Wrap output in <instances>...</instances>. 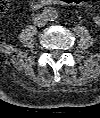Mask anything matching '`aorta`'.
Returning <instances> with one entry per match:
<instances>
[{
    "label": "aorta",
    "mask_w": 100,
    "mask_h": 118,
    "mask_svg": "<svg viewBox=\"0 0 100 118\" xmlns=\"http://www.w3.org/2000/svg\"><path fill=\"white\" fill-rule=\"evenodd\" d=\"M42 14L46 18L47 21L52 22L55 21L58 17V13L56 9L52 7H47L43 10Z\"/></svg>",
    "instance_id": "aorta-1"
}]
</instances>
